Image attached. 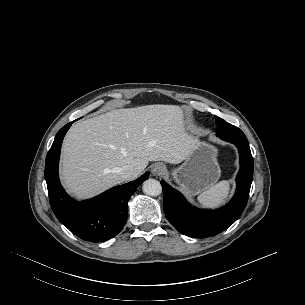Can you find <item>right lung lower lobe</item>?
<instances>
[{
    "label": "right lung lower lobe",
    "mask_w": 305,
    "mask_h": 305,
    "mask_svg": "<svg viewBox=\"0 0 305 305\" xmlns=\"http://www.w3.org/2000/svg\"><path fill=\"white\" fill-rule=\"evenodd\" d=\"M71 124L59 130L46 157L45 179L50 205L59 221L73 234L86 241L103 242L122 230L128 216L127 202L138 186L148 179L149 173L92 199L73 200L62 188L58 177L61 144Z\"/></svg>",
    "instance_id": "1"
}]
</instances>
